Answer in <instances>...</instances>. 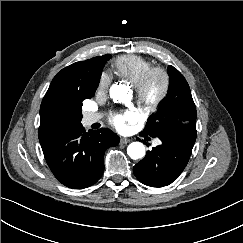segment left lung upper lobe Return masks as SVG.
Segmentation results:
<instances>
[{
  "label": "left lung upper lobe",
  "instance_id": "obj_1",
  "mask_svg": "<svg viewBox=\"0 0 243 243\" xmlns=\"http://www.w3.org/2000/svg\"><path fill=\"white\" fill-rule=\"evenodd\" d=\"M170 85L165 102L148 119L142 133L152 137H167L194 146L196 140V107L190 87L183 75L168 67Z\"/></svg>",
  "mask_w": 243,
  "mask_h": 243
}]
</instances>
